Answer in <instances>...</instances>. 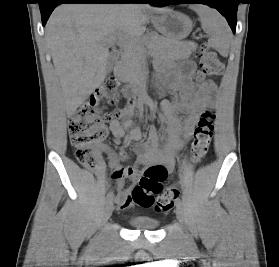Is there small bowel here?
I'll list each match as a JSON object with an SVG mask.
<instances>
[{
  "label": "small bowel",
  "instance_id": "obj_1",
  "mask_svg": "<svg viewBox=\"0 0 279 267\" xmlns=\"http://www.w3.org/2000/svg\"><path fill=\"white\" fill-rule=\"evenodd\" d=\"M159 69L168 73V86L173 90H180L183 95V102L179 106H174L167 101L162 104V110L167 119L166 143L160 144V135L155 126H150L146 135L139 129L132 128L125 136L124 128L131 127L132 124L133 105L126 107L120 118L111 121L110 131L122 145L130 141L137 142L135 152L138 156V164L161 167L167 178V175L175 168V152L181 149L184 142L191 137L199 115L206 107L209 95L216 86L212 81H204L195 90L192 82L195 64L189 60L182 61L179 65L161 64ZM180 113L185 115L180 116ZM143 139L145 140L141 142ZM121 157H125L123 152H121ZM110 166L115 168L112 175L116 180L117 188L114 196L115 203L120 210H125L133 204V199L130 190L124 188L123 181L126 178L135 181L139 171L132 166H117V160L113 155L110 156Z\"/></svg>",
  "mask_w": 279,
  "mask_h": 267
}]
</instances>
